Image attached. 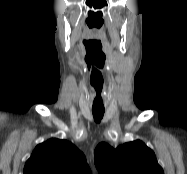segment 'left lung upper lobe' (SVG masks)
I'll use <instances>...</instances> for the list:
<instances>
[{"mask_svg":"<svg viewBox=\"0 0 187 174\" xmlns=\"http://www.w3.org/2000/svg\"><path fill=\"white\" fill-rule=\"evenodd\" d=\"M94 159L98 174H164L154 152L139 140L116 149L101 143Z\"/></svg>","mask_w":187,"mask_h":174,"instance_id":"left-lung-upper-lobe-1","label":"left lung upper lobe"}]
</instances>
